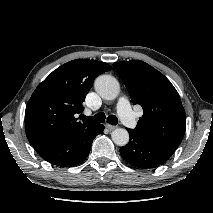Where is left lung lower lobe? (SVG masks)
Returning <instances> with one entry per match:
<instances>
[{
  "label": "left lung lower lobe",
  "mask_w": 213,
  "mask_h": 213,
  "mask_svg": "<svg viewBox=\"0 0 213 213\" xmlns=\"http://www.w3.org/2000/svg\"><path fill=\"white\" fill-rule=\"evenodd\" d=\"M130 141L120 148L123 159L134 167L155 168L166 162L175 149L149 142L133 129H127Z\"/></svg>",
  "instance_id": "1"
}]
</instances>
